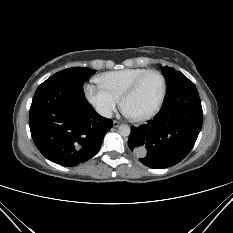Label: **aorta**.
<instances>
[{
	"label": "aorta",
	"mask_w": 233,
	"mask_h": 233,
	"mask_svg": "<svg viewBox=\"0 0 233 233\" xmlns=\"http://www.w3.org/2000/svg\"><path fill=\"white\" fill-rule=\"evenodd\" d=\"M130 131H131V129H130V127L128 125H121L118 128L119 134L121 136H123V137L129 136L130 135Z\"/></svg>",
	"instance_id": "obj_1"
}]
</instances>
